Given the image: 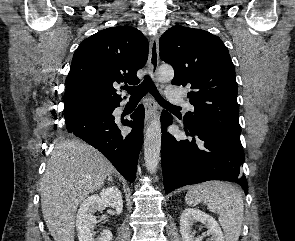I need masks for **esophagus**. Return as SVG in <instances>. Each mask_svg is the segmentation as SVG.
<instances>
[{
  "instance_id": "esophagus-1",
  "label": "esophagus",
  "mask_w": 295,
  "mask_h": 241,
  "mask_svg": "<svg viewBox=\"0 0 295 241\" xmlns=\"http://www.w3.org/2000/svg\"><path fill=\"white\" fill-rule=\"evenodd\" d=\"M159 65V36L153 35L150 40V52L148 61V71L154 79ZM157 111V103L153 97L148 96L145 100V126Z\"/></svg>"
}]
</instances>
